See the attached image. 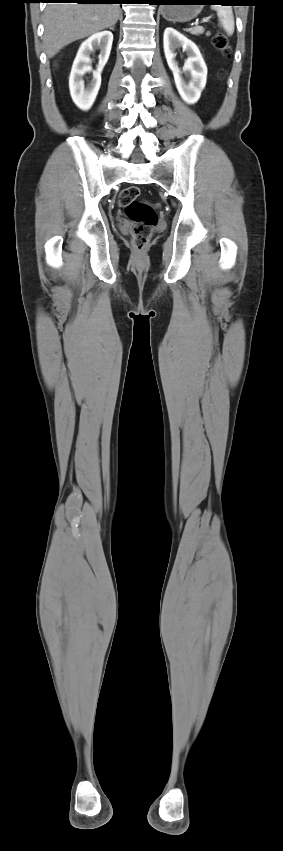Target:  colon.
I'll list each match as a JSON object with an SVG mask.
<instances>
[{
	"instance_id": "1",
	"label": "colon",
	"mask_w": 283,
	"mask_h": 851,
	"mask_svg": "<svg viewBox=\"0 0 283 851\" xmlns=\"http://www.w3.org/2000/svg\"><path fill=\"white\" fill-rule=\"evenodd\" d=\"M213 45L224 56H230L229 40L223 32H217L213 36ZM139 196L140 189L137 186L127 187L120 192L118 204L125 209L127 216L132 221L131 231L134 247L137 250H142L157 222V214L155 206L148 201H139Z\"/></svg>"
}]
</instances>
